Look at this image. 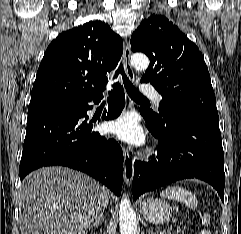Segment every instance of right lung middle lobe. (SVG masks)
I'll list each match as a JSON object with an SVG mask.
<instances>
[{"label": "right lung middle lobe", "instance_id": "dd1d6c3e", "mask_svg": "<svg viewBox=\"0 0 241 234\" xmlns=\"http://www.w3.org/2000/svg\"><path fill=\"white\" fill-rule=\"evenodd\" d=\"M77 105L78 104L64 102H47L29 105L28 117L68 111L77 107Z\"/></svg>", "mask_w": 241, "mask_h": 234}]
</instances>
